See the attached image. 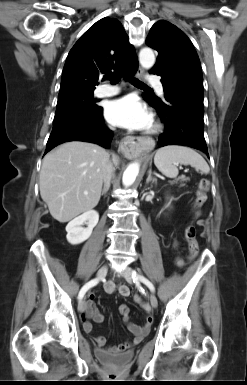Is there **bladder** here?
I'll return each mask as SVG.
<instances>
[{
	"label": "bladder",
	"instance_id": "1",
	"mask_svg": "<svg viewBox=\"0 0 247 385\" xmlns=\"http://www.w3.org/2000/svg\"><path fill=\"white\" fill-rule=\"evenodd\" d=\"M98 354H101V355H104V356H109V354L105 351H102V350H98L97 351ZM132 356V353L131 352H125L123 354H119V355H116L115 357H118L117 361L118 362H125L127 360H129Z\"/></svg>",
	"mask_w": 247,
	"mask_h": 385
}]
</instances>
